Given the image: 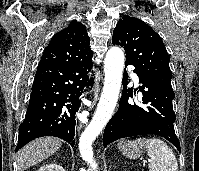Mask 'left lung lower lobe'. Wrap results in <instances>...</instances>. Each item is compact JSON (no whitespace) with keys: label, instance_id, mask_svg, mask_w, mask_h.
<instances>
[{"label":"left lung lower lobe","instance_id":"0a47b994","mask_svg":"<svg viewBox=\"0 0 199 171\" xmlns=\"http://www.w3.org/2000/svg\"><path fill=\"white\" fill-rule=\"evenodd\" d=\"M134 72L142 84L139 89L143 95V105L128 103L133 91L126 87L128 81L123 76L119 108L105 128L104 147L120 138L154 134L167 139L180 151V143L174 131L176 116L172 105L175 97L173 90L142 76L136 70Z\"/></svg>","mask_w":199,"mask_h":171}]
</instances>
